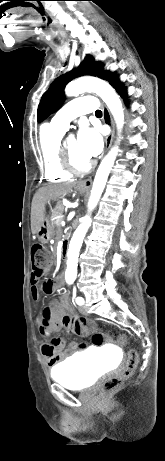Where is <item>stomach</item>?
Masks as SVG:
<instances>
[{
    "label": "stomach",
    "instance_id": "1",
    "mask_svg": "<svg viewBox=\"0 0 165 461\" xmlns=\"http://www.w3.org/2000/svg\"><path fill=\"white\" fill-rule=\"evenodd\" d=\"M76 188L80 192L85 191V189L81 185H78ZM36 234H37L38 240L41 243H47L53 237L54 228L48 218L43 219L41 226Z\"/></svg>",
    "mask_w": 165,
    "mask_h": 461
}]
</instances>
